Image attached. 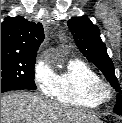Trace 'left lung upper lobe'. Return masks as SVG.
Segmentation results:
<instances>
[{"label": "left lung upper lobe", "instance_id": "5c2ea615", "mask_svg": "<svg viewBox=\"0 0 122 123\" xmlns=\"http://www.w3.org/2000/svg\"><path fill=\"white\" fill-rule=\"evenodd\" d=\"M67 25L81 53L102 71L111 86L118 92L117 103L113 111L122 115L121 88L115 76L113 63L107 54L106 46L100 38L99 28L87 17L72 18Z\"/></svg>", "mask_w": 122, "mask_h": 123}]
</instances>
